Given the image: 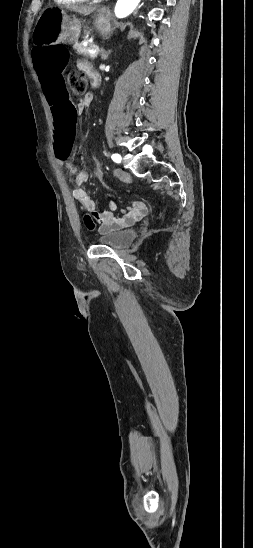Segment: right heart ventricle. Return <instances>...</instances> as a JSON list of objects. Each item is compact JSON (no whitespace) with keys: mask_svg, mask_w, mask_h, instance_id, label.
I'll return each instance as SVG.
<instances>
[{"mask_svg":"<svg viewBox=\"0 0 253 548\" xmlns=\"http://www.w3.org/2000/svg\"><path fill=\"white\" fill-rule=\"evenodd\" d=\"M59 5H75L82 3L86 0H54Z\"/></svg>","mask_w":253,"mask_h":548,"instance_id":"1","label":"right heart ventricle"}]
</instances>
